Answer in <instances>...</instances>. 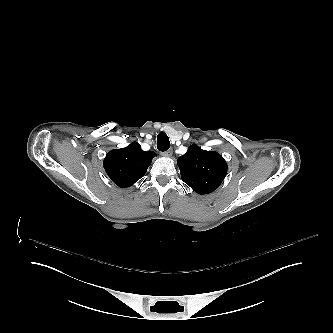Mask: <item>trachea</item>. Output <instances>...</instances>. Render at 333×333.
Returning a JSON list of instances; mask_svg holds the SVG:
<instances>
[{
    "label": "trachea",
    "instance_id": "1",
    "mask_svg": "<svg viewBox=\"0 0 333 333\" xmlns=\"http://www.w3.org/2000/svg\"><path fill=\"white\" fill-rule=\"evenodd\" d=\"M157 148L160 151H167L170 148V141L167 134L163 131L157 136Z\"/></svg>",
    "mask_w": 333,
    "mask_h": 333
}]
</instances>
